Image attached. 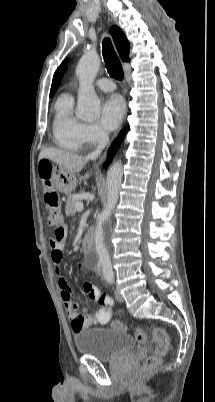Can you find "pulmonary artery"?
Segmentation results:
<instances>
[{
  "label": "pulmonary artery",
  "instance_id": "e3ab8cb5",
  "mask_svg": "<svg viewBox=\"0 0 215 402\" xmlns=\"http://www.w3.org/2000/svg\"><path fill=\"white\" fill-rule=\"evenodd\" d=\"M96 86L103 91H113L115 84L107 78H100L95 82Z\"/></svg>",
  "mask_w": 215,
  "mask_h": 402
}]
</instances>
